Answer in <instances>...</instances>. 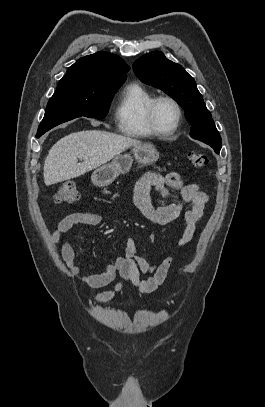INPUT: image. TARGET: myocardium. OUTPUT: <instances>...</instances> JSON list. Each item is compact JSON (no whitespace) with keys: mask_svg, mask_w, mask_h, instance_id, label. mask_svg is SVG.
Wrapping results in <instances>:
<instances>
[{"mask_svg":"<svg viewBox=\"0 0 265 407\" xmlns=\"http://www.w3.org/2000/svg\"><path fill=\"white\" fill-rule=\"evenodd\" d=\"M163 101L170 102L175 107L176 112H177L176 121H175L174 125L168 130L161 129L158 126L157 119H156L157 107ZM146 117H147V122H148L150 129L152 130V132L155 135L169 136V135L174 134L177 131V129L179 128L180 123L182 121V117H183V110H182V106L180 105V103L174 97L169 96V95H161V96L155 97L151 101V103L149 104V106L147 108Z\"/></svg>","mask_w":265,"mask_h":407,"instance_id":"f54148a6","label":"myocardium"}]
</instances>
